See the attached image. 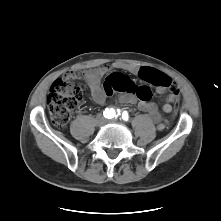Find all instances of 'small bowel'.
<instances>
[{
    "mask_svg": "<svg viewBox=\"0 0 221 221\" xmlns=\"http://www.w3.org/2000/svg\"><path fill=\"white\" fill-rule=\"evenodd\" d=\"M111 68L128 71L130 73L139 72V68L136 65L116 62L112 64V66H99L92 68L84 72L82 75L76 72H71L69 76L76 78L83 77L88 85L91 97L94 102H96L97 104H103L109 94L107 93L105 86H101V81L103 77L110 72ZM131 83L132 82L130 78L120 72L110 74L106 82V84L112 90L120 92L118 99L121 103L130 105L137 103L139 109L146 113L152 122L158 124L159 129H163L165 127V123H163L162 116L159 113L158 108L154 102H151L149 100H140L135 94L129 92L128 90H120L121 87ZM156 92L159 95H164L166 94V88L157 86ZM177 100L178 97H176L172 93L167 94L165 96L164 104L162 107L163 112L166 114H170L173 110V103Z\"/></svg>",
    "mask_w": 221,
    "mask_h": 221,
    "instance_id": "obj_1",
    "label": "small bowel"
}]
</instances>
